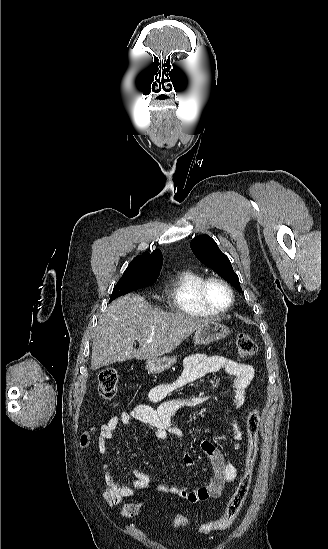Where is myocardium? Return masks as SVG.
Listing matches in <instances>:
<instances>
[{
	"label": "myocardium",
	"mask_w": 328,
	"mask_h": 549,
	"mask_svg": "<svg viewBox=\"0 0 328 549\" xmlns=\"http://www.w3.org/2000/svg\"><path fill=\"white\" fill-rule=\"evenodd\" d=\"M212 284H220L224 286L229 292V295H230L229 304L226 308L222 310H215L209 306L210 303L208 300V289ZM198 296L201 302V304L198 306L199 310L203 314L213 318H222L228 315L232 311L235 305V300H236L235 291L233 286L230 284V282H228L224 278L217 277V276L208 277L201 283L198 291Z\"/></svg>",
	"instance_id": "obj_1"
}]
</instances>
